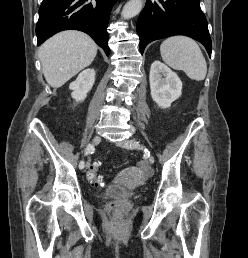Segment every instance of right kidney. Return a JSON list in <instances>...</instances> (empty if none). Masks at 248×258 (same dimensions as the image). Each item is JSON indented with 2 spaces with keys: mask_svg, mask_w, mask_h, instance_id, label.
<instances>
[{
  "mask_svg": "<svg viewBox=\"0 0 248 258\" xmlns=\"http://www.w3.org/2000/svg\"><path fill=\"white\" fill-rule=\"evenodd\" d=\"M95 82V70L86 69L82 71L77 79L69 85V89L72 90V97L76 101H83L87 93L91 90Z\"/></svg>",
  "mask_w": 248,
  "mask_h": 258,
  "instance_id": "right-kidney-1",
  "label": "right kidney"
}]
</instances>
